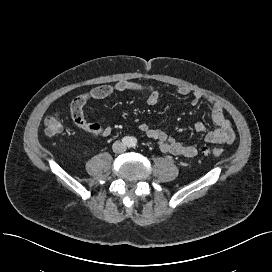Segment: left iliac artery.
<instances>
[{
  "label": "left iliac artery",
  "instance_id": "obj_1",
  "mask_svg": "<svg viewBox=\"0 0 272 272\" xmlns=\"http://www.w3.org/2000/svg\"><path fill=\"white\" fill-rule=\"evenodd\" d=\"M130 145L132 147H135L136 146V140L135 139H132L131 142H130Z\"/></svg>",
  "mask_w": 272,
  "mask_h": 272
}]
</instances>
